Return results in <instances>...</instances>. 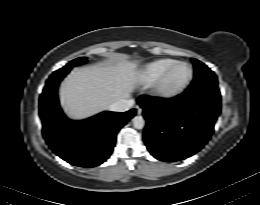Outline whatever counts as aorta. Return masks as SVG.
<instances>
[{"label": "aorta", "instance_id": "1", "mask_svg": "<svg viewBox=\"0 0 260 205\" xmlns=\"http://www.w3.org/2000/svg\"><path fill=\"white\" fill-rule=\"evenodd\" d=\"M133 126L136 129H143L145 125V120L142 116H135L133 119Z\"/></svg>", "mask_w": 260, "mask_h": 205}]
</instances>
